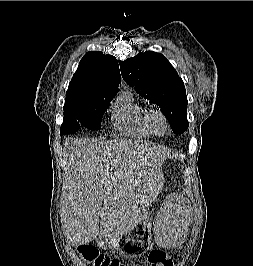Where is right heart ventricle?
I'll return each instance as SVG.
<instances>
[{
	"instance_id": "obj_1",
	"label": "right heart ventricle",
	"mask_w": 253,
	"mask_h": 266,
	"mask_svg": "<svg viewBox=\"0 0 253 266\" xmlns=\"http://www.w3.org/2000/svg\"><path fill=\"white\" fill-rule=\"evenodd\" d=\"M148 110L131 93H123L112 112L115 126L125 135L138 139L148 138L152 133L147 124Z\"/></svg>"
}]
</instances>
